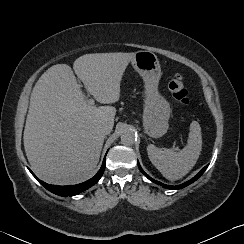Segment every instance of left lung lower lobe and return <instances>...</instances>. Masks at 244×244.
Masks as SVG:
<instances>
[{
    "label": "left lung lower lobe",
    "instance_id": "1",
    "mask_svg": "<svg viewBox=\"0 0 244 244\" xmlns=\"http://www.w3.org/2000/svg\"><path fill=\"white\" fill-rule=\"evenodd\" d=\"M138 167H139V169H140V171L149 179V180H151L152 182H155V183H157V184H159V185H161V186H163V187H165V188H168V189H181V188H184V187H186V186H188L189 184H191V183H193V182H195L203 173H204V171L206 170V168L208 167V165L207 166H205L194 178H192L191 180H189V181H187L186 183H183L182 185H179V186H170V185H166V184H162L161 182H158V181H156V180H154V179H152L150 176H148L144 171H143V169L141 168V166H140V164H139V162H138Z\"/></svg>",
    "mask_w": 244,
    "mask_h": 244
}]
</instances>
